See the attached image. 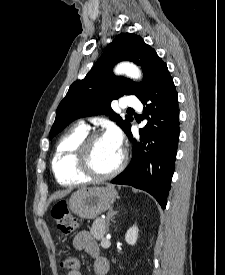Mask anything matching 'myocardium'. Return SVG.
Masks as SVG:
<instances>
[{"label": "myocardium", "instance_id": "f54148a6", "mask_svg": "<svg viewBox=\"0 0 225 275\" xmlns=\"http://www.w3.org/2000/svg\"><path fill=\"white\" fill-rule=\"evenodd\" d=\"M104 137L99 132L88 133L77 145L75 151V168L85 178L92 180H107L118 175L126 166L127 153L121 150V158L118 165L105 174L96 173L90 164V154L93 143Z\"/></svg>", "mask_w": 225, "mask_h": 275}]
</instances>
